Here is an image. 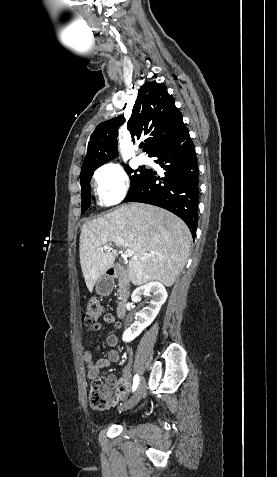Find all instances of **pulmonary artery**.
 <instances>
[{
    "mask_svg": "<svg viewBox=\"0 0 277 477\" xmlns=\"http://www.w3.org/2000/svg\"><path fill=\"white\" fill-rule=\"evenodd\" d=\"M137 161H138L139 164H145V163H147L148 158L141 154L137 157Z\"/></svg>",
    "mask_w": 277,
    "mask_h": 477,
    "instance_id": "pulmonary-artery-1",
    "label": "pulmonary artery"
}]
</instances>
